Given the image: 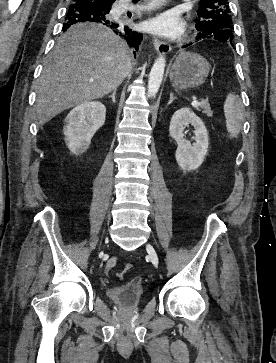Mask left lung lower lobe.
<instances>
[{"instance_id":"obj_1","label":"left lung lower lobe","mask_w":276,"mask_h":363,"mask_svg":"<svg viewBox=\"0 0 276 363\" xmlns=\"http://www.w3.org/2000/svg\"><path fill=\"white\" fill-rule=\"evenodd\" d=\"M206 37H204L203 36V34H201V33H199L198 35H197V39L199 40V39H205ZM190 44H187L185 47H187V46H189Z\"/></svg>"}]
</instances>
